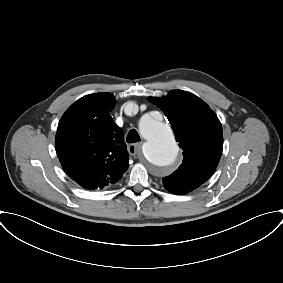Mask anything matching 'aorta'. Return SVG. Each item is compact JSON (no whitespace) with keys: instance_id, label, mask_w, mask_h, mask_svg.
Masks as SVG:
<instances>
[{"instance_id":"1","label":"aorta","mask_w":283,"mask_h":283,"mask_svg":"<svg viewBox=\"0 0 283 283\" xmlns=\"http://www.w3.org/2000/svg\"><path fill=\"white\" fill-rule=\"evenodd\" d=\"M139 129L146 140L142 150L147 161L158 171L171 170L179 150L172 129L150 116L140 120Z\"/></svg>"}]
</instances>
